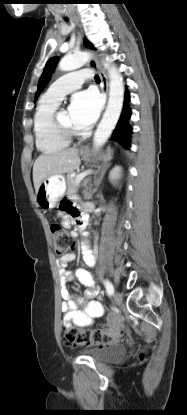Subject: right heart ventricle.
<instances>
[{
  "label": "right heart ventricle",
  "instance_id": "obj_1",
  "mask_svg": "<svg viewBox=\"0 0 187 415\" xmlns=\"http://www.w3.org/2000/svg\"><path fill=\"white\" fill-rule=\"evenodd\" d=\"M58 103V101L50 100L44 95L34 115L36 146L46 154L61 151L70 143V140L64 137L54 124V114Z\"/></svg>",
  "mask_w": 187,
  "mask_h": 415
}]
</instances>
